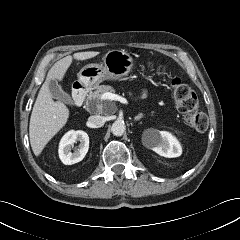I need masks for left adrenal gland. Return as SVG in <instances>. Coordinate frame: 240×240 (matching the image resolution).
I'll return each instance as SVG.
<instances>
[{
	"label": "left adrenal gland",
	"instance_id": "a2214340",
	"mask_svg": "<svg viewBox=\"0 0 240 240\" xmlns=\"http://www.w3.org/2000/svg\"><path fill=\"white\" fill-rule=\"evenodd\" d=\"M142 117H143V114L141 113V114H139L138 116H136V117L134 118V120H135V121H138V120H140Z\"/></svg>",
	"mask_w": 240,
	"mask_h": 240
}]
</instances>
